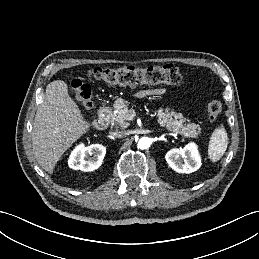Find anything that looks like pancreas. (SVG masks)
Returning <instances> with one entry per match:
<instances>
[{"mask_svg": "<svg viewBox=\"0 0 259 259\" xmlns=\"http://www.w3.org/2000/svg\"><path fill=\"white\" fill-rule=\"evenodd\" d=\"M117 111L112 114V121L122 128L129 126L127 122L133 113V109L128 108V102L118 99L114 104ZM158 122L160 126L168 131L183 135L184 137L196 138L201 133V128L195 123H190L181 113L175 112L171 108H159L157 110Z\"/></svg>", "mask_w": 259, "mask_h": 259, "instance_id": "pancreas-1", "label": "pancreas"}]
</instances>
